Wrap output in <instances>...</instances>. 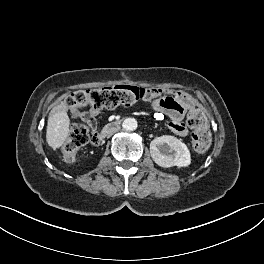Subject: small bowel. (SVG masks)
Instances as JSON below:
<instances>
[{
    "mask_svg": "<svg viewBox=\"0 0 264 264\" xmlns=\"http://www.w3.org/2000/svg\"><path fill=\"white\" fill-rule=\"evenodd\" d=\"M149 101L153 109L160 115H165L170 118L168 128L179 136H187L189 130L183 122L184 113L192 105V100L189 95L181 91H169L159 88L147 89V94L144 98ZM71 113L85 122L92 131V143L99 144L96 133V116L99 115L100 110L90 108L89 111H80L77 108L71 109Z\"/></svg>",
    "mask_w": 264,
    "mask_h": 264,
    "instance_id": "c3829d8e",
    "label": "small bowel"
}]
</instances>
